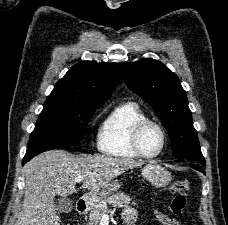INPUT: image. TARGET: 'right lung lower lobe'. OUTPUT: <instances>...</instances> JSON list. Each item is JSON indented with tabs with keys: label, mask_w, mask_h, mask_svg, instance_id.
<instances>
[{
	"label": "right lung lower lobe",
	"mask_w": 228,
	"mask_h": 225,
	"mask_svg": "<svg viewBox=\"0 0 228 225\" xmlns=\"http://www.w3.org/2000/svg\"><path fill=\"white\" fill-rule=\"evenodd\" d=\"M58 148H63V149H70L69 148V143L66 142H46V143H40L38 145H34L31 147H27V152L26 155L22 161V165H24L26 162H28L31 158L34 156L48 150L52 149H58Z\"/></svg>",
	"instance_id": "98d812e1"
}]
</instances>
